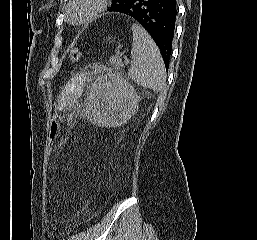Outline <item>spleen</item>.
<instances>
[{"label": "spleen", "instance_id": "obj_1", "mask_svg": "<svg viewBox=\"0 0 257 240\" xmlns=\"http://www.w3.org/2000/svg\"><path fill=\"white\" fill-rule=\"evenodd\" d=\"M131 29L133 64L128 71L129 77L144 88L152 89L154 92L163 91L166 85V73L157 45L141 26L132 24Z\"/></svg>", "mask_w": 257, "mask_h": 240}]
</instances>
